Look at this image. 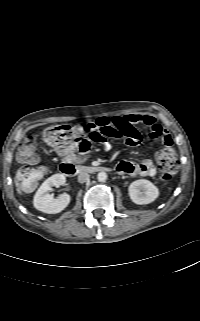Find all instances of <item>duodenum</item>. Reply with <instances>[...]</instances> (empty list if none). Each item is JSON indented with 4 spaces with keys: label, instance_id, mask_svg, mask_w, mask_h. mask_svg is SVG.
I'll return each instance as SVG.
<instances>
[{
    "label": "duodenum",
    "instance_id": "1",
    "mask_svg": "<svg viewBox=\"0 0 200 321\" xmlns=\"http://www.w3.org/2000/svg\"><path fill=\"white\" fill-rule=\"evenodd\" d=\"M109 170L100 165H76L73 163H63L60 166V171L66 176H74L79 173H98Z\"/></svg>",
    "mask_w": 200,
    "mask_h": 321
}]
</instances>
